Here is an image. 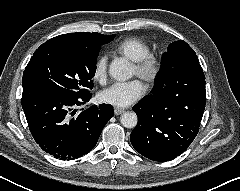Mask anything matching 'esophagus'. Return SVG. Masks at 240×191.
I'll return each mask as SVG.
<instances>
[{"label":"esophagus","instance_id":"1","mask_svg":"<svg viewBox=\"0 0 240 191\" xmlns=\"http://www.w3.org/2000/svg\"><path fill=\"white\" fill-rule=\"evenodd\" d=\"M124 112H125V110H124V109H121V108H115V109H114L115 115H121V114H123Z\"/></svg>","mask_w":240,"mask_h":191}]
</instances>
